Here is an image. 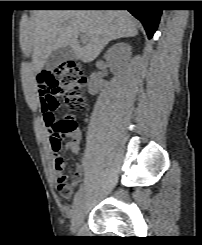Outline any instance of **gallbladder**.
Segmentation results:
<instances>
[{
	"label": "gallbladder",
	"instance_id": "gallbladder-1",
	"mask_svg": "<svg viewBox=\"0 0 202 245\" xmlns=\"http://www.w3.org/2000/svg\"><path fill=\"white\" fill-rule=\"evenodd\" d=\"M75 53L68 47L58 48L52 52L45 62L46 70H53L63 62L75 59Z\"/></svg>",
	"mask_w": 202,
	"mask_h": 245
}]
</instances>
